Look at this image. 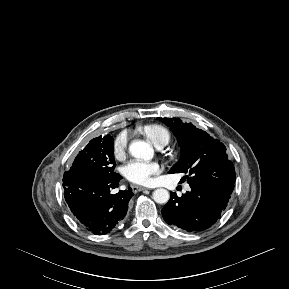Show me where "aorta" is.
<instances>
[{"label":"aorta","mask_w":289,"mask_h":289,"mask_svg":"<svg viewBox=\"0 0 289 289\" xmlns=\"http://www.w3.org/2000/svg\"><path fill=\"white\" fill-rule=\"evenodd\" d=\"M129 152L132 156L144 160H150L153 157L154 151L150 143L145 141H134L129 146ZM170 194L166 189L159 188L153 192V199L158 204L168 202Z\"/></svg>","instance_id":"aorta-1"}]
</instances>
